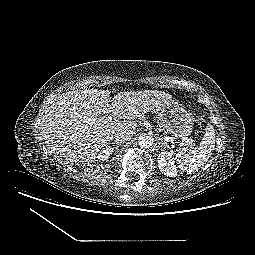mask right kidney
<instances>
[{
	"label": "right kidney",
	"instance_id": "1",
	"mask_svg": "<svg viewBox=\"0 0 255 255\" xmlns=\"http://www.w3.org/2000/svg\"><path fill=\"white\" fill-rule=\"evenodd\" d=\"M113 153V149L111 147L103 148L101 152H99L96 156L98 161L108 160L109 156Z\"/></svg>",
	"mask_w": 255,
	"mask_h": 255
}]
</instances>
